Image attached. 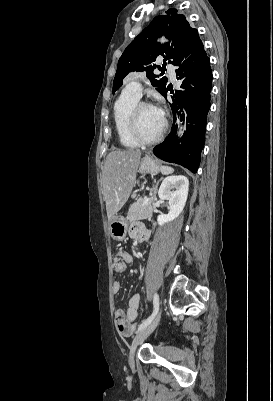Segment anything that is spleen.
<instances>
[{
	"label": "spleen",
	"mask_w": 273,
	"mask_h": 401,
	"mask_svg": "<svg viewBox=\"0 0 273 401\" xmlns=\"http://www.w3.org/2000/svg\"><path fill=\"white\" fill-rule=\"evenodd\" d=\"M162 174H171L173 172V168L171 166H161Z\"/></svg>",
	"instance_id": "obj_1"
}]
</instances>
